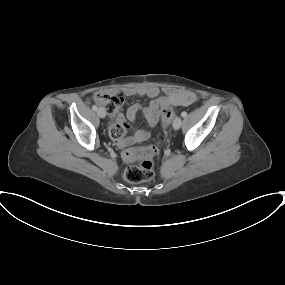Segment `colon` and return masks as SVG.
Instances as JSON below:
<instances>
[{
  "mask_svg": "<svg viewBox=\"0 0 285 285\" xmlns=\"http://www.w3.org/2000/svg\"><path fill=\"white\" fill-rule=\"evenodd\" d=\"M95 100L103 105L110 114L118 112L121 107L123 98L120 94L114 92L100 91L94 95ZM173 113L171 110H166L163 113L162 124L168 127L173 121ZM126 129L122 127L113 128L110 131V136L114 140H120L124 137ZM158 153L157 144H148L140 147H129L123 151V158L127 161L140 159L138 165H130L124 171V177L128 182L140 183L149 181L153 178L154 162L153 158Z\"/></svg>",
  "mask_w": 285,
  "mask_h": 285,
  "instance_id": "colon-1",
  "label": "colon"
}]
</instances>
